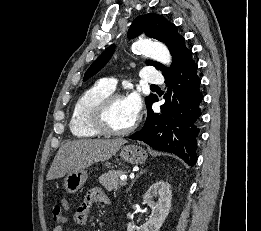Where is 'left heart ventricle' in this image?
Wrapping results in <instances>:
<instances>
[{
  "instance_id": "b2bd125f",
  "label": "left heart ventricle",
  "mask_w": 261,
  "mask_h": 231,
  "mask_svg": "<svg viewBox=\"0 0 261 231\" xmlns=\"http://www.w3.org/2000/svg\"><path fill=\"white\" fill-rule=\"evenodd\" d=\"M126 99L121 98L115 101L110 109L109 122L116 129H124L129 127L135 120Z\"/></svg>"
}]
</instances>
